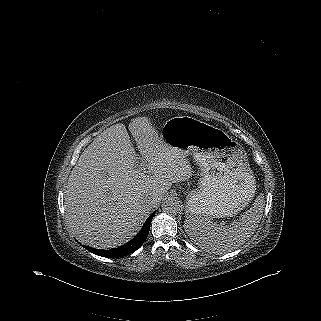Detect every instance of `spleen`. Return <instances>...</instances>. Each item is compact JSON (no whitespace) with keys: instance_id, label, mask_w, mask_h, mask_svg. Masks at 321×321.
Returning <instances> with one entry per match:
<instances>
[{"instance_id":"obj_1","label":"spleen","mask_w":321,"mask_h":321,"mask_svg":"<svg viewBox=\"0 0 321 321\" xmlns=\"http://www.w3.org/2000/svg\"><path fill=\"white\" fill-rule=\"evenodd\" d=\"M265 207V198L258 195L253 206L229 226H218L208 218L188 216L184 222L190 239L199 247L223 254L243 245L256 231Z\"/></svg>"}]
</instances>
